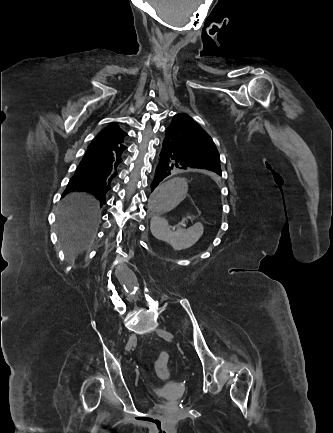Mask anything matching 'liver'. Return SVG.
<instances>
[{
	"label": "liver",
	"mask_w": 333,
	"mask_h": 433,
	"mask_svg": "<svg viewBox=\"0 0 333 433\" xmlns=\"http://www.w3.org/2000/svg\"><path fill=\"white\" fill-rule=\"evenodd\" d=\"M99 205L94 196L85 192H72L63 199L57 216V233L70 261L92 242L100 221Z\"/></svg>",
	"instance_id": "obj_1"
}]
</instances>
